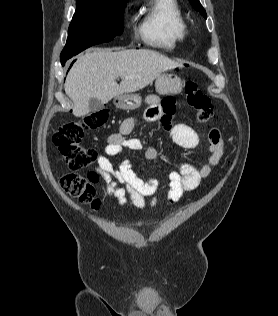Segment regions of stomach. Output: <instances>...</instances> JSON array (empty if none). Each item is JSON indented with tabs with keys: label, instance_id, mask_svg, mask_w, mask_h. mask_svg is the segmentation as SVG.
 Wrapping results in <instances>:
<instances>
[{
	"label": "stomach",
	"instance_id": "obj_1",
	"mask_svg": "<svg viewBox=\"0 0 278 316\" xmlns=\"http://www.w3.org/2000/svg\"><path fill=\"white\" fill-rule=\"evenodd\" d=\"M180 77L173 74H160L155 81L159 95L176 94L182 90ZM114 104L119 109L134 110L141 105V97L137 94H122L114 98Z\"/></svg>",
	"mask_w": 278,
	"mask_h": 316
}]
</instances>
